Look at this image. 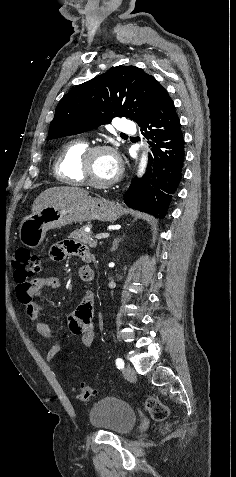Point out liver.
<instances>
[{"label":"liver","mask_w":236,"mask_h":477,"mask_svg":"<svg viewBox=\"0 0 236 477\" xmlns=\"http://www.w3.org/2000/svg\"><path fill=\"white\" fill-rule=\"evenodd\" d=\"M88 191L78 187H52L42 192L34 201L32 205V212L37 213L42 209L67 202L74 199L87 197Z\"/></svg>","instance_id":"1"}]
</instances>
